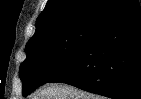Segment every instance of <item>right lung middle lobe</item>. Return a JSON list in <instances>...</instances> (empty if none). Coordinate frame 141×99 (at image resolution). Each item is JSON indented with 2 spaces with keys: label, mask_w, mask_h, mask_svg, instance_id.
Masks as SVG:
<instances>
[{
  "label": "right lung middle lobe",
  "mask_w": 141,
  "mask_h": 99,
  "mask_svg": "<svg viewBox=\"0 0 141 99\" xmlns=\"http://www.w3.org/2000/svg\"><path fill=\"white\" fill-rule=\"evenodd\" d=\"M99 24L97 21L80 22L30 39L25 48L26 60L19 70L23 95L47 83L70 63L94 35Z\"/></svg>",
  "instance_id": "1"
}]
</instances>
